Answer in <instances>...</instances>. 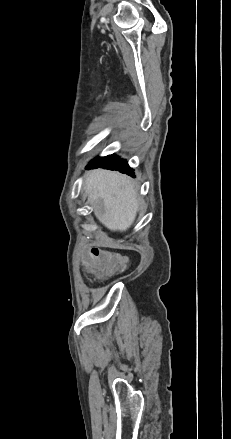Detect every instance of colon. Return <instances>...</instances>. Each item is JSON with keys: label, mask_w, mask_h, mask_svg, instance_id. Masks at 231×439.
Wrapping results in <instances>:
<instances>
[{"label": "colon", "mask_w": 231, "mask_h": 439, "mask_svg": "<svg viewBox=\"0 0 231 439\" xmlns=\"http://www.w3.org/2000/svg\"><path fill=\"white\" fill-rule=\"evenodd\" d=\"M86 259L81 260V267L88 268L95 275H111L125 267V260L111 254L98 251L97 246L92 245L84 250Z\"/></svg>", "instance_id": "obj_1"}]
</instances>
